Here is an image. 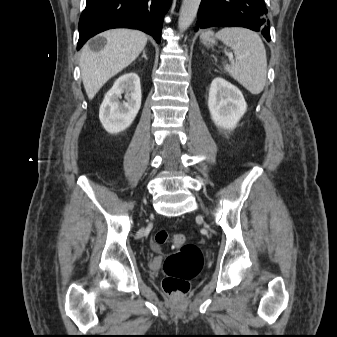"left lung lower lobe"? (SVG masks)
<instances>
[{
  "mask_svg": "<svg viewBox=\"0 0 337 337\" xmlns=\"http://www.w3.org/2000/svg\"><path fill=\"white\" fill-rule=\"evenodd\" d=\"M264 0H202L196 29L207 27H245L261 30L270 41V22Z\"/></svg>",
  "mask_w": 337,
  "mask_h": 337,
  "instance_id": "1",
  "label": "left lung lower lobe"
}]
</instances>
